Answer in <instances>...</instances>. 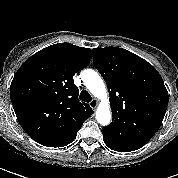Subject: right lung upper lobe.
Listing matches in <instances>:
<instances>
[{
  "label": "right lung upper lobe",
  "instance_id": "obj_1",
  "mask_svg": "<svg viewBox=\"0 0 178 178\" xmlns=\"http://www.w3.org/2000/svg\"><path fill=\"white\" fill-rule=\"evenodd\" d=\"M92 51L71 43L48 46L15 74L10 98L17 119L36 142L49 147L71 143L93 110L78 100L73 76L90 63Z\"/></svg>",
  "mask_w": 178,
  "mask_h": 178
}]
</instances>
